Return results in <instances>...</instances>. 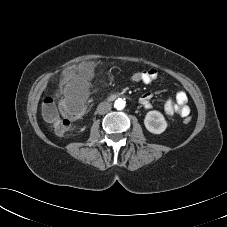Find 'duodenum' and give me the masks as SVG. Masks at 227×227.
Wrapping results in <instances>:
<instances>
[{
	"label": "duodenum",
	"instance_id": "obj_1",
	"mask_svg": "<svg viewBox=\"0 0 227 227\" xmlns=\"http://www.w3.org/2000/svg\"><path fill=\"white\" fill-rule=\"evenodd\" d=\"M121 94L120 93H114L110 96V99H113V98H116L118 96H120Z\"/></svg>",
	"mask_w": 227,
	"mask_h": 227
}]
</instances>
